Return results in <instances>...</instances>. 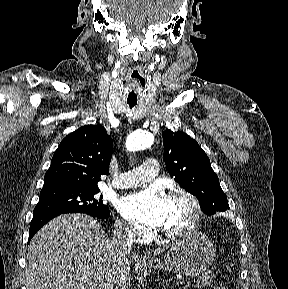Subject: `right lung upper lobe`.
Returning <instances> with one entry per match:
<instances>
[{
    "instance_id": "cb5924a9",
    "label": "right lung upper lobe",
    "mask_w": 288,
    "mask_h": 289,
    "mask_svg": "<svg viewBox=\"0 0 288 289\" xmlns=\"http://www.w3.org/2000/svg\"><path fill=\"white\" fill-rule=\"evenodd\" d=\"M113 141L101 125H86L67 135L55 151L43 188L98 187L108 168Z\"/></svg>"
}]
</instances>
